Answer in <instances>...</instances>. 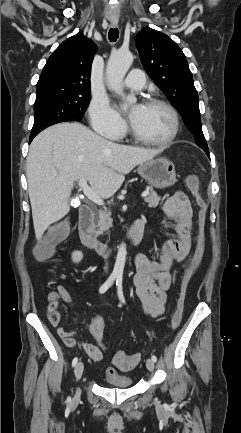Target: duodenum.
Instances as JSON below:
<instances>
[{"label": "duodenum", "mask_w": 241, "mask_h": 433, "mask_svg": "<svg viewBox=\"0 0 241 433\" xmlns=\"http://www.w3.org/2000/svg\"><path fill=\"white\" fill-rule=\"evenodd\" d=\"M92 217L93 212L90 207L84 206L81 208L79 213V236L81 242L85 247L96 251L102 256H106L111 252V247L97 239L92 227ZM144 225L145 219L143 217H139L133 221L128 234V240L131 245L136 246L141 241Z\"/></svg>", "instance_id": "1"}]
</instances>
